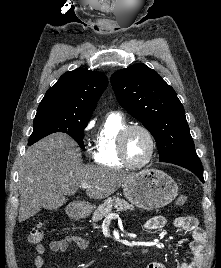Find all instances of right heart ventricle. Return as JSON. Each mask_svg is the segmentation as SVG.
<instances>
[{
    "label": "right heart ventricle",
    "instance_id": "1",
    "mask_svg": "<svg viewBox=\"0 0 221 268\" xmlns=\"http://www.w3.org/2000/svg\"><path fill=\"white\" fill-rule=\"evenodd\" d=\"M125 126V120L118 114L111 113L106 117L97 135L93 152V158L97 164L115 169L125 167L117 150V138Z\"/></svg>",
    "mask_w": 221,
    "mask_h": 268
}]
</instances>
